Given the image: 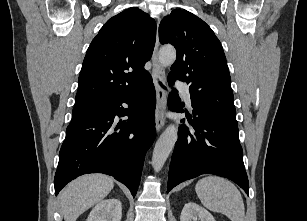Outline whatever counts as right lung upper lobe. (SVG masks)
Here are the masks:
<instances>
[{"mask_svg": "<svg viewBox=\"0 0 307 221\" xmlns=\"http://www.w3.org/2000/svg\"><path fill=\"white\" fill-rule=\"evenodd\" d=\"M156 23L139 8L110 18L91 42L78 80L75 106L107 104L138 91L150 77Z\"/></svg>", "mask_w": 307, "mask_h": 221, "instance_id": "1", "label": "right lung upper lobe"}]
</instances>
